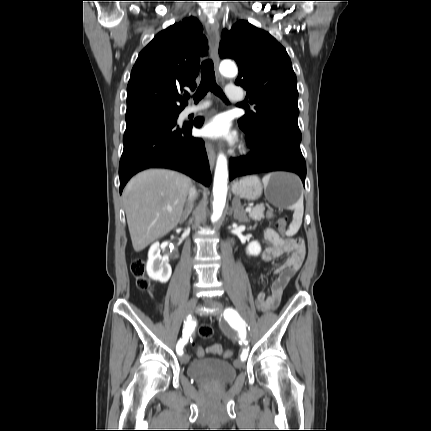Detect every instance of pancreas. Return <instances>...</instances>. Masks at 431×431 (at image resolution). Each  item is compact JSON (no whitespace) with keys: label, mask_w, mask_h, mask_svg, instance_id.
Returning a JSON list of instances; mask_svg holds the SVG:
<instances>
[{"label":"pancreas","mask_w":431,"mask_h":431,"mask_svg":"<svg viewBox=\"0 0 431 431\" xmlns=\"http://www.w3.org/2000/svg\"><path fill=\"white\" fill-rule=\"evenodd\" d=\"M264 211L265 207L263 205L256 206L249 212V218L255 221H260L265 218ZM267 217H270V215Z\"/></svg>","instance_id":"cf45deb5"}]
</instances>
